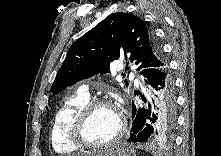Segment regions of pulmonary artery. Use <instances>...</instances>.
Returning <instances> with one entry per match:
<instances>
[{
	"mask_svg": "<svg viewBox=\"0 0 221 156\" xmlns=\"http://www.w3.org/2000/svg\"><path fill=\"white\" fill-rule=\"evenodd\" d=\"M81 92L89 95L88 88L86 86L81 87Z\"/></svg>",
	"mask_w": 221,
	"mask_h": 156,
	"instance_id": "1",
	"label": "pulmonary artery"
}]
</instances>
